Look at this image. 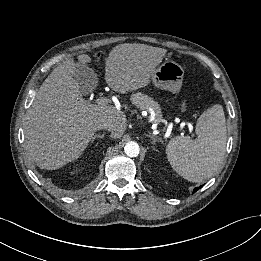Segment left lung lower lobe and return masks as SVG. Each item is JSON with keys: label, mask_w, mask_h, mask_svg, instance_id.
I'll return each instance as SVG.
<instances>
[{"label": "left lung lower lobe", "mask_w": 261, "mask_h": 261, "mask_svg": "<svg viewBox=\"0 0 261 261\" xmlns=\"http://www.w3.org/2000/svg\"><path fill=\"white\" fill-rule=\"evenodd\" d=\"M201 187H196L195 189H194V192H196L198 189H200Z\"/></svg>", "instance_id": "1"}]
</instances>
